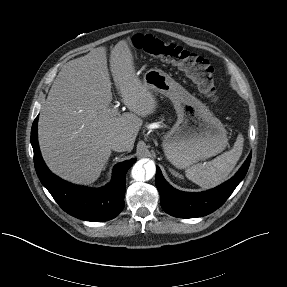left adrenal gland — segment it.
Returning <instances> with one entry per match:
<instances>
[{"label":"left adrenal gland","instance_id":"1","mask_svg":"<svg viewBox=\"0 0 287 287\" xmlns=\"http://www.w3.org/2000/svg\"><path fill=\"white\" fill-rule=\"evenodd\" d=\"M170 171H171V173H172L173 175H175L176 177L182 178V176H181L179 173L175 172L174 170L170 169Z\"/></svg>","mask_w":287,"mask_h":287}]
</instances>
